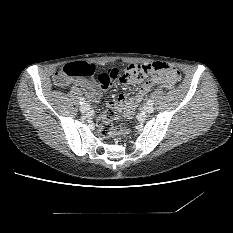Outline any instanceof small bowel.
I'll return each mask as SVG.
<instances>
[{"instance_id":"1","label":"small bowel","mask_w":233,"mask_h":233,"mask_svg":"<svg viewBox=\"0 0 233 233\" xmlns=\"http://www.w3.org/2000/svg\"><path fill=\"white\" fill-rule=\"evenodd\" d=\"M117 74L118 69L110 68L100 74L97 82L91 79L81 78L74 80V83L84 88L90 97L100 96L116 80ZM178 77L179 73L177 70H174V72L170 74L156 77L151 81L143 83L134 97L127 98L125 95L120 94L114 100L106 101L104 106L109 109H125L127 107H136L142 101L144 96L151 90V88L155 86L158 88H171L177 82ZM138 82L139 80L134 78H123L122 80V84L124 86L135 85Z\"/></svg>"}]
</instances>
